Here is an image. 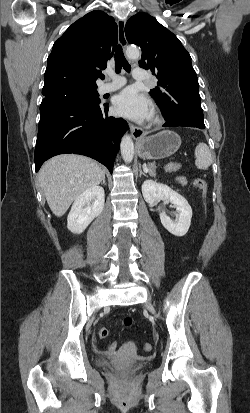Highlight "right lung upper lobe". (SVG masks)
<instances>
[{"mask_svg":"<svg viewBox=\"0 0 250 413\" xmlns=\"http://www.w3.org/2000/svg\"><path fill=\"white\" fill-rule=\"evenodd\" d=\"M118 28L113 17L92 11L75 23L54 43L47 59L42 94L65 88H97L101 70L113 56Z\"/></svg>","mask_w":250,"mask_h":413,"instance_id":"1","label":"right lung upper lobe"}]
</instances>
